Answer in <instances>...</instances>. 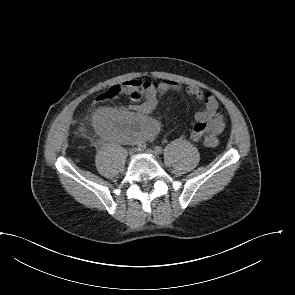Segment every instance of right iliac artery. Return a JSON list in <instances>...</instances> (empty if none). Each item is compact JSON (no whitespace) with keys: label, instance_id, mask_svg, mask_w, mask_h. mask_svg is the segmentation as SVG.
Wrapping results in <instances>:
<instances>
[{"label":"right iliac artery","instance_id":"1","mask_svg":"<svg viewBox=\"0 0 295 295\" xmlns=\"http://www.w3.org/2000/svg\"><path fill=\"white\" fill-rule=\"evenodd\" d=\"M145 148V146L143 145H136V150H143Z\"/></svg>","mask_w":295,"mask_h":295}]
</instances>
